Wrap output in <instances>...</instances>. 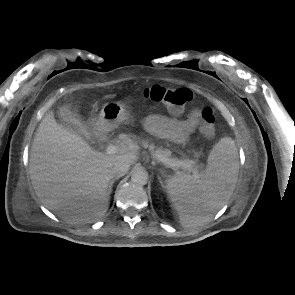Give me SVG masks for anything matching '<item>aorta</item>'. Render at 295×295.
<instances>
[{
    "label": "aorta",
    "instance_id": "1",
    "mask_svg": "<svg viewBox=\"0 0 295 295\" xmlns=\"http://www.w3.org/2000/svg\"><path fill=\"white\" fill-rule=\"evenodd\" d=\"M148 173L144 169H138L133 172L131 176V181L139 186H143L147 183Z\"/></svg>",
    "mask_w": 295,
    "mask_h": 295
}]
</instances>
